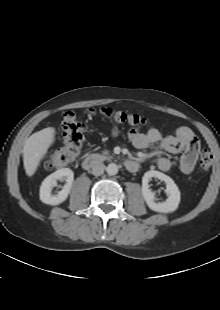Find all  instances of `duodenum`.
Listing matches in <instances>:
<instances>
[{
    "mask_svg": "<svg viewBox=\"0 0 220 310\" xmlns=\"http://www.w3.org/2000/svg\"><path fill=\"white\" fill-rule=\"evenodd\" d=\"M102 157L96 154H91L83 158L82 167L86 170L95 168L101 161ZM126 169L129 172H135L138 169V163L134 160L128 159L125 161Z\"/></svg>",
    "mask_w": 220,
    "mask_h": 310,
    "instance_id": "duodenum-1",
    "label": "duodenum"
}]
</instances>
